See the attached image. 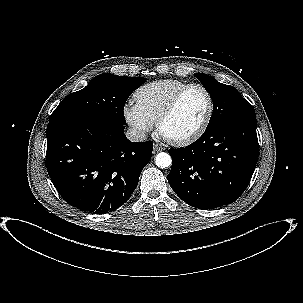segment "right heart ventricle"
<instances>
[{
  "label": "right heart ventricle",
  "instance_id": "obj_1",
  "mask_svg": "<svg viewBox=\"0 0 303 303\" xmlns=\"http://www.w3.org/2000/svg\"><path fill=\"white\" fill-rule=\"evenodd\" d=\"M186 85L187 82L173 79L155 81L139 88L134 99L141 111L155 123L170 100Z\"/></svg>",
  "mask_w": 303,
  "mask_h": 303
}]
</instances>
